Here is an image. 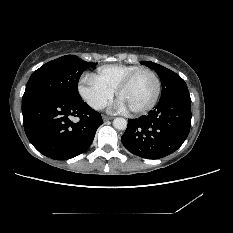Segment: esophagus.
Returning a JSON list of instances; mask_svg holds the SVG:
<instances>
[{
	"instance_id": "esophagus-1",
	"label": "esophagus",
	"mask_w": 233,
	"mask_h": 233,
	"mask_svg": "<svg viewBox=\"0 0 233 233\" xmlns=\"http://www.w3.org/2000/svg\"><path fill=\"white\" fill-rule=\"evenodd\" d=\"M111 119H113V118L109 117V116H106V115L103 116V121H108V120H111Z\"/></svg>"
}]
</instances>
